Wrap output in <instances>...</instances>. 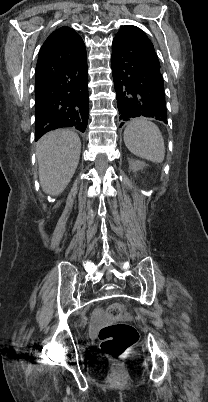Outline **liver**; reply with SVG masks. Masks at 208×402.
<instances>
[{"label":"liver","mask_w":208,"mask_h":402,"mask_svg":"<svg viewBox=\"0 0 208 402\" xmlns=\"http://www.w3.org/2000/svg\"><path fill=\"white\" fill-rule=\"evenodd\" d=\"M81 142L78 134L55 130L40 138L36 146L41 188L45 194L59 196L68 186L79 164Z\"/></svg>","instance_id":"liver-1"}]
</instances>
